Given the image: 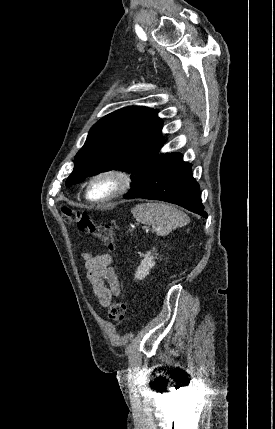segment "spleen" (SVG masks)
Here are the masks:
<instances>
[{"label":"spleen","instance_id":"spleen-1","mask_svg":"<svg viewBox=\"0 0 275 429\" xmlns=\"http://www.w3.org/2000/svg\"><path fill=\"white\" fill-rule=\"evenodd\" d=\"M131 213L138 222L152 225L158 236H166L189 223V217L184 212L166 203L138 204Z\"/></svg>","mask_w":275,"mask_h":429}]
</instances>
